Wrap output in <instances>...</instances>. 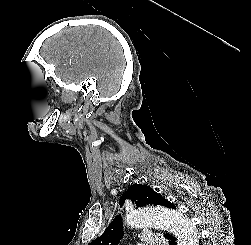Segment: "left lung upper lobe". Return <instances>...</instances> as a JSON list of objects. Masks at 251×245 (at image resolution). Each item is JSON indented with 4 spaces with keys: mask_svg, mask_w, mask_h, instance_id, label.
<instances>
[{
    "mask_svg": "<svg viewBox=\"0 0 251 245\" xmlns=\"http://www.w3.org/2000/svg\"><path fill=\"white\" fill-rule=\"evenodd\" d=\"M130 199L138 207L147 205H160L163 207L176 209V206L155 192L147 185L134 184L120 198V206L124 201ZM123 237V226L121 216H117L107 227L104 233L93 240L89 245H118Z\"/></svg>",
    "mask_w": 251,
    "mask_h": 245,
    "instance_id": "1",
    "label": "left lung upper lobe"
}]
</instances>
